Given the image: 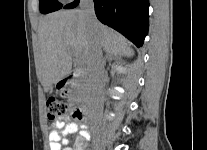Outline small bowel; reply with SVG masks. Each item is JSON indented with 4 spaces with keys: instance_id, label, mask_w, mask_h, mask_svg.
<instances>
[{
    "instance_id": "small-bowel-1",
    "label": "small bowel",
    "mask_w": 207,
    "mask_h": 150,
    "mask_svg": "<svg viewBox=\"0 0 207 150\" xmlns=\"http://www.w3.org/2000/svg\"><path fill=\"white\" fill-rule=\"evenodd\" d=\"M54 130L49 134L50 150H86L91 134L86 125H79L74 121L68 122L55 121L53 123ZM76 135L74 144L68 145V137Z\"/></svg>"
}]
</instances>
